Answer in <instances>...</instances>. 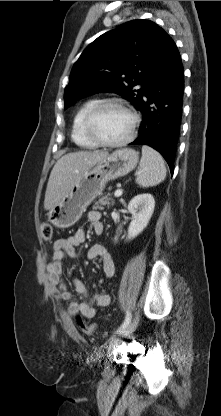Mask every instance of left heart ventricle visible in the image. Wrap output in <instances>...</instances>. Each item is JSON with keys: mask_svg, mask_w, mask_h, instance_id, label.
Here are the masks:
<instances>
[{"mask_svg": "<svg viewBox=\"0 0 221 416\" xmlns=\"http://www.w3.org/2000/svg\"><path fill=\"white\" fill-rule=\"evenodd\" d=\"M131 128V117L123 109L110 106L105 108L96 118L94 129L107 141H119L126 137Z\"/></svg>", "mask_w": 221, "mask_h": 416, "instance_id": "left-heart-ventricle-1", "label": "left heart ventricle"}]
</instances>
